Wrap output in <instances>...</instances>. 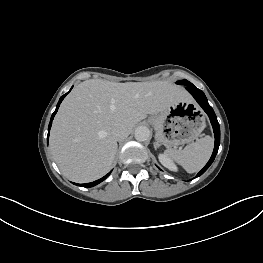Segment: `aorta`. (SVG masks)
Masks as SVG:
<instances>
[{"instance_id":"762f6f07","label":"aorta","mask_w":263,"mask_h":263,"mask_svg":"<svg viewBox=\"0 0 263 263\" xmlns=\"http://www.w3.org/2000/svg\"><path fill=\"white\" fill-rule=\"evenodd\" d=\"M135 139L140 142H144L149 140L151 136V132L148 127L146 126H139L135 129Z\"/></svg>"}]
</instances>
